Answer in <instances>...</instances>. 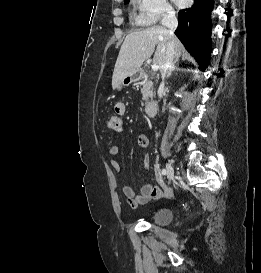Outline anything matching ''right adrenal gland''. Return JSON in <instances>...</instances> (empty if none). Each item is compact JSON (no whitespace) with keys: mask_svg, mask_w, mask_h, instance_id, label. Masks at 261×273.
I'll return each mask as SVG.
<instances>
[{"mask_svg":"<svg viewBox=\"0 0 261 273\" xmlns=\"http://www.w3.org/2000/svg\"><path fill=\"white\" fill-rule=\"evenodd\" d=\"M177 62H178V59L175 60V63H177ZM175 69H176V68H175V66H174L173 69L169 70V72H168V74H167V78H169V77L171 76L172 72L175 71Z\"/></svg>","mask_w":261,"mask_h":273,"instance_id":"2a0ac1e0","label":"right adrenal gland"}]
</instances>
